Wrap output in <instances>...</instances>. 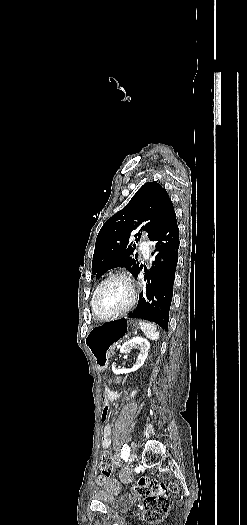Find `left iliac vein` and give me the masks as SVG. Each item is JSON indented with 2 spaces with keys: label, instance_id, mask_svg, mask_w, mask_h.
I'll return each instance as SVG.
<instances>
[{
  "label": "left iliac vein",
  "instance_id": "left-iliac-vein-1",
  "mask_svg": "<svg viewBox=\"0 0 247 525\" xmlns=\"http://www.w3.org/2000/svg\"><path fill=\"white\" fill-rule=\"evenodd\" d=\"M135 457H136V454L135 452H132L129 457H128V460H127V466H129L134 460H135Z\"/></svg>",
  "mask_w": 247,
  "mask_h": 525
}]
</instances>
